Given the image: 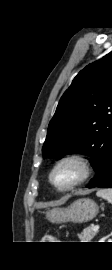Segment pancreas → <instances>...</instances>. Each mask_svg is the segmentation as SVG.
Instances as JSON below:
<instances>
[{
	"mask_svg": "<svg viewBox=\"0 0 112 270\" xmlns=\"http://www.w3.org/2000/svg\"><path fill=\"white\" fill-rule=\"evenodd\" d=\"M98 233V230L94 231L92 227H87L82 233L78 234L81 242H91L93 237Z\"/></svg>",
	"mask_w": 112,
	"mask_h": 270,
	"instance_id": "pancreas-1",
	"label": "pancreas"
}]
</instances>
